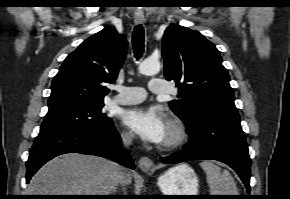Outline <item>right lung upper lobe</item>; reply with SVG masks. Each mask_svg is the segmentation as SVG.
<instances>
[{"instance_id":"obj_1","label":"right lung upper lobe","mask_w":290,"mask_h":199,"mask_svg":"<svg viewBox=\"0 0 290 199\" xmlns=\"http://www.w3.org/2000/svg\"><path fill=\"white\" fill-rule=\"evenodd\" d=\"M126 49V38L112 27L87 38L54 77L48 113L103 102L109 92L105 84L116 80Z\"/></svg>"}]
</instances>
